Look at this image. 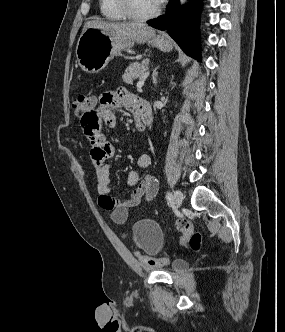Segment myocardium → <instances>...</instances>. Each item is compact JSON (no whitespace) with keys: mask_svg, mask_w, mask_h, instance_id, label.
<instances>
[{"mask_svg":"<svg viewBox=\"0 0 285 332\" xmlns=\"http://www.w3.org/2000/svg\"><path fill=\"white\" fill-rule=\"evenodd\" d=\"M122 12L130 19L135 21H147L155 18L160 13V8L157 7L154 11L147 14H140L134 7L133 0H117Z\"/></svg>","mask_w":285,"mask_h":332,"instance_id":"obj_1","label":"myocardium"}]
</instances>
